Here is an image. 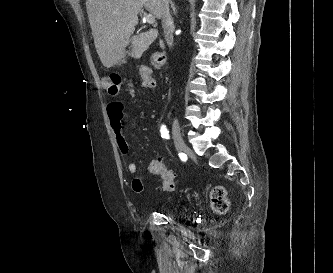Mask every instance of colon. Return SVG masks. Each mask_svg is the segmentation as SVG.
<instances>
[{
  "instance_id": "5ec220e1",
  "label": "colon",
  "mask_w": 333,
  "mask_h": 273,
  "mask_svg": "<svg viewBox=\"0 0 333 273\" xmlns=\"http://www.w3.org/2000/svg\"><path fill=\"white\" fill-rule=\"evenodd\" d=\"M166 62L165 54L155 51L151 55V64L156 69L164 67ZM103 87L110 95H117L122 91L132 92L131 86H125L119 74L113 73L105 77L102 81ZM147 170L150 175L158 179L159 187L163 191H172L174 189V175L161 160L153 159L148 162ZM211 203L215 211L224 213L228 210V200L223 187H215L211 192Z\"/></svg>"
}]
</instances>
